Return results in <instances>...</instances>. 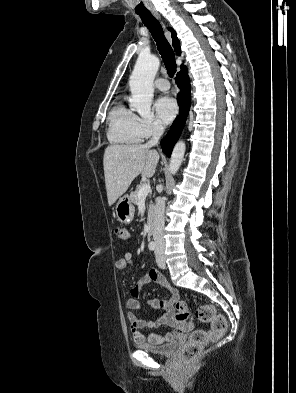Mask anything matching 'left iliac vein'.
<instances>
[{
  "instance_id": "1",
  "label": "left iliac vein",
  "mask_w": 296,
  "mask_h": 393,
  "mask_svg": "<svg viewBox=\"0 0 296 393\" xmlns=\"http://www.w3.org/2000/svg\"><path fill=\"white\" fill-rule=\"evenodd\" d=\"M157 265L164 269L166 267L163 250L157 248L155 251Z\"/></svg>"
}]
</instances>
